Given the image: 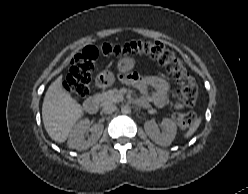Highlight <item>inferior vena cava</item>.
I'll use <instances>...</instances> for the list:
<instances>
[{"instance_id": "1", "label": "inferior vena cava", "mask_w": 248, "mask_h": 194, "mask_svg": "<svg viewBox=\"0 0 248 194\" xmlns=\"http://www.w3.org/2000/svg\"><path fill=\"white\" fill-rule=\"evenodd\" d=\"M117 109L116 105L114 104H106L103 106V112L106 114L112 113Z\"/></svg>"}]
</instances>
